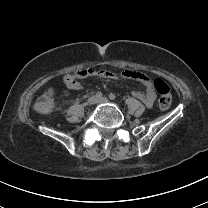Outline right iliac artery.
<instances>
[{"label":"right iliac artery","mask_w":208,"mask_h":208,"mask_svg":"<svg viewBox=\"0 0 208 208\" xmlns=\"http://www.w3.org/2000/svg\"><path fill=\"white\" fill-rule=\"evenodd\" d=\"M95 96H96V98H101L102 97V93L101 92H97Z\"/></svg>","instance_id":"82829eb1"}]
</instances>
